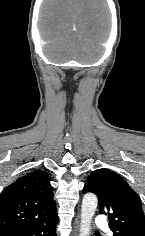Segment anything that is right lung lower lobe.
I'll list each match as a JSON object with an SVG mask.
<instances>
[{
    "label": "right lung lower lobe",
    "mask_w": 145,
    "mask_h": 236,
    "mask_svg": "<svg viewBox=\"0 0 145 236\" xmlns=\"http://www.w3.org/2000/svg\"><path fill=\"white\" fill-rule=\"evenodd\" d=\"M58 216L30 227L11 229L0 232V236H56Z\"/></svg>",
    "instance_id": "obj_1"
}]
</instances>
